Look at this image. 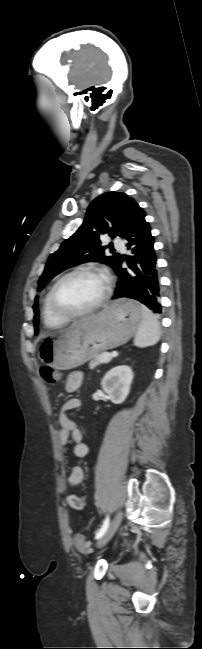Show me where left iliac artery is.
<instances>
[{
	"label": "left iliac artery",
	"instance_id": "44dca946",
	"mask_svg": "<svg viewBox=\"0 0 202 649\" xmlns=\"http://www.w3.org/2000/svg\"><path fill=\"white\" fill-rule=\"evenodd\" d=\"M108 526H109V518L106 517V519L104 520L103 525L101 526V528L96 533V539H99L100 537L103 536V534L107 531Z\"/></svg>",
	"mask_w": 202,
	"mask_h": 649
}]
</instances>
